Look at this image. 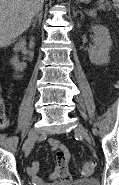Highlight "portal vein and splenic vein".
<instances>
[{
	"label": "portal vein and splenic vein",
	"mask_w": 119,
	"mask_h": 185,
	"mask_svg": "<svg viewBox=\"0 0 119 185\" xmlns=\"http://www.w3.org/2000/svg\"><path fill=\"white\" fill-rule=\"evenodd\" d=\"M101 8V6L99 7V9ZM96 9H92L90 10L89 12H87L89 15L92 14V13H95Z\"/></svg>",
	"instance_id": "portal-vein-and-splenic-vein-1"
}]
</instances>
